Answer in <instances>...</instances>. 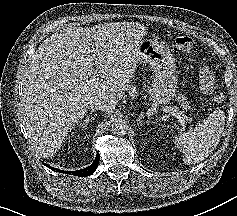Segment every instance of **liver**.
Returning <instances> with one entry per match:
<instances>
[{
	"mask_svg": "<svg viewBox=\"0 0 237 216\" xmlns=\"http://www.w3.org/2000/svg\"><path fill=\"white\" fill-rule=\"evenodd\" d=\"M107 26L54 33L21 78L23 122L38 149L54 151L85 117L93 98L105 95L112 105L122 98L135 68L121 61L115 39L105 42ZM93 75L100 79L90 81Z\"/></svg>",
	"mask_w": 237,
	"mask_h": 216,
	"instance_id": "liver-1",
	"label": "liver"
}]
</instances>
